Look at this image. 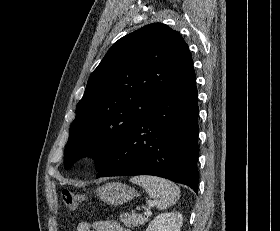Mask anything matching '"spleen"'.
Segmentation results:
<instances>
[{"label":"spleen","mask_w":280,"mask_h":231,"mask_svg":"<svg viewBox=\"0 0 280 231\" xmlns=\"http://www.w3.org/2000/svg\"><path fill=\"white\" fill-rule=\"evenodd\" d=\"M130 181L142 185L150 197H154V203L158 209H167L177 201L180 195V189L176 183L163 177H156V175H135Z\"/></svg>","instance_id":"3e777b00"}]
</instances>
